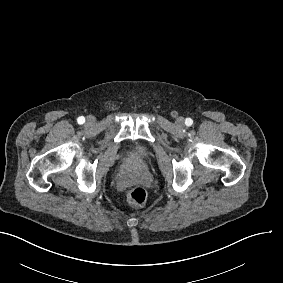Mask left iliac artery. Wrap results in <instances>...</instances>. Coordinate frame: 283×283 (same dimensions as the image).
<instances>
[{"instance_id":"1","label":"left iliac artery","mask_w":283,"mask_h":283,"mask_svg":"<svg viewBox=\"0 0 283 283\" xmlns=\"http://www.w3.org/2000/svg\"><path fill=\"white\" fill-rule=\"evenodd\" d=\"M185 124H186L187 126H191V125L193 124V120H192L191 118H187V119L185 120Z\"/></svg>"}]
</instances>
